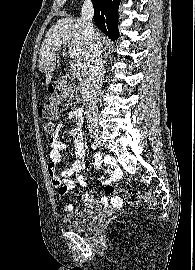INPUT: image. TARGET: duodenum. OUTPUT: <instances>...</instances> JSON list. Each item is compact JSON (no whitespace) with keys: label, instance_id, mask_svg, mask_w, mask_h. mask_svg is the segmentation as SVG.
I'll return each instance as SVG.
<instances>
[{"label":"duodenum","instance_id":"duodenum-1","mask_svg":"<svg viewBox=\"0 0 195 270\" xmlns=\"http://www.w3.org/2000/svg\"><path fill=\"white\" fill-rule=\"evenodd\" d=\"M85 68L82 65H71L69 71L72 75H77L80 72H85ZM93 90V82L91 79L86 78L83 82L82 88L80 90V99L82 101H87Z\"/></svg>","mask_w":195,"mask_h":270}]
</instances>
